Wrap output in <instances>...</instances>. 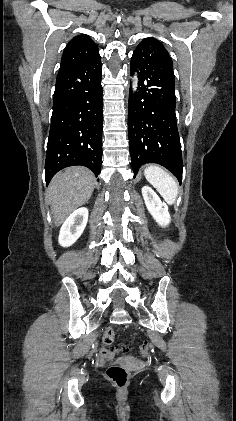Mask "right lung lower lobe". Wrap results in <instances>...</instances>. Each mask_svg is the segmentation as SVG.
Here are the masks:
<instances>
[{"mask_svg":"<svg viewBox=\"0 0 236 421\" xmlns=\"http://www.w3.org/2000/svg\"><path fill=\"white\" fill-rule=\"evenodd\" d=\"M102 63L100 55L59 70L47 144V184L61 169L82 165L97 177L102 161Z\"/></svg>","mask_w":236,"mask_h":421,"instance_id":"obj_1","label":"right lung lower lobe"}]
</instances>
